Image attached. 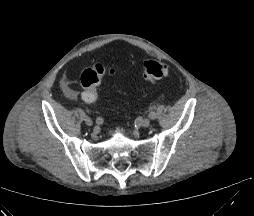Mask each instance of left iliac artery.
Masks as SVG:
<instances>
[{
    "instance_id": "left-iliac-artery-1",
    "label": "left iliac artery",
    "mask_w": 254,
    "mask_h": 216,
    "mask_svg": "<svg viewBox=\"0 0 254 216\" xmlns=\"http://www.w3.org/2000/svg\"><path fill=\"white\" fill-rule=\"evenodd\" d=\"M148 117L151 119V120H155L157 118V114L155 111H150L148 113Z\"/></svg>"
}]
</instances>
